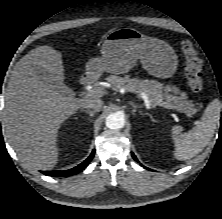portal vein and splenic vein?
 <instances>
[{
    "label": "portal vein and splenic vein",
    "instance_id": "portal-vein-and-splenic-vein-1",
    "mask_svg": "<svg viewBox=\"0 0 222 219\" xmlns=\"http://www.w3.org/2000/svg\"><path fill=\"white\" fill-rule=\"evenodd\" d=\"M103 94V91L101 88H94L92 90H90L89 92L86 93V96L87 97H97V96H100ZM138 96L140 98H142L146 104V106H150L151 105V101L149 100L148 96L146 93L144 92H139L138 93ZM157 105H160L164 108H167V109H175V106L172 105L171 103L169 102H166V101H162V100H159L157 102Z\"/></svg>",
    "mask_w": 222,
    "mask_h": 219
}]
</instances>
